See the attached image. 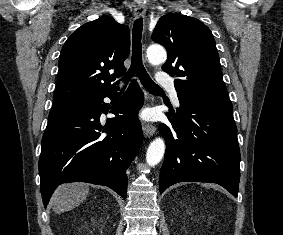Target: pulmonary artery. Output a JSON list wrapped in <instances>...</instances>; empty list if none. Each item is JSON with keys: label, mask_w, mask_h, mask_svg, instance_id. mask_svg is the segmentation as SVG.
Returning a JSON list of instances; mask_svg holds the SVG:
<instances>
[{"label": "pulmonary artery", "mask_w": 283, "mask_h": 235, "mask_svg": "<svg viewBox=\"0 0 283 235\" xmlns=\"http://www.w3.org/2000/svg\"><path fill=\"white\" fill-rule=\"evenodd\" d=\"M158 81H159V83L162 86H165V87H167L168 89L171 90L173 102L176 105H178L179 104V100H178V97H177V95L175 93V86L173 84V81L170 78H168L164 73H159L158 74Z\"/></svg>", "instance_id": "e3ab8cb5"}]
</instances>
